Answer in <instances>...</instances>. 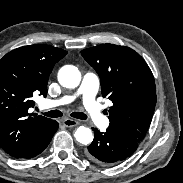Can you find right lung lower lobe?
<instances>
[{
	"mask_svg": "<svg viewBox=\"0 0 183 183\" xmlns=\"http://www.w3.org/2000/svg\"><path fill=\"white\" fill-rule=\"evenodd\" d=\"M58 126H59L58 122L53 120L49 128L45 131L43 136L37 142L35 148L33 149V152L27 158H32L37 156L48 146L54 133L57 131Z\"/></svg>",
	"mask_w": 183,
	"mask_h": 183,
	"instance_id": "1",
	"label": "right lung lower lobe"
}]
</instances>
